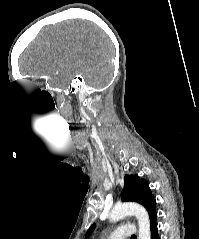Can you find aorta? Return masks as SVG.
Listing matches in <instances>:
<instances>
[{"label": "aorta", "instance_id": "aorta-1", "mask_svg": "<svg viewBox=\"0 0 199 239\" xmlns=\"http://www.w3.org/2000/svg\"><path fill=\"white\" fill-rule=\"evenodd\" d=\"M128 215H134L138 221V239H150V220L146 209L136 203H118L109 215L111 222H117Z\"/></svg>", "mask_w": 199, "mask_h": 239}]
</instances>
